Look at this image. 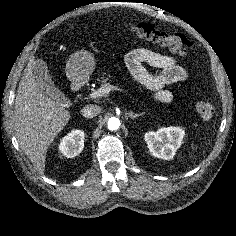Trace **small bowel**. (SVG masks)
I'll return each mask as SVG.
<instances>
[{"label": "small bowel", "mask_w": 236, "mask_h": 236, "mask_svg": "<svg viewBox=\"0 0 236 236\" xmlns=\"http://www.w3.org/2000/svg\"><path fill=\"white\" fill-rule=\"evenodd\" d=\"M125 62L131 76L138 83L139 92L146 93L161 103H169L173 99L172 92L164 89L165 86L183 82L188 78L187 71L177 59L149 49L138 48L130 51ZM145 64L160 68L161 72L151 75Z\"/></svg>", "instance_id": "1"}]
</instances>
